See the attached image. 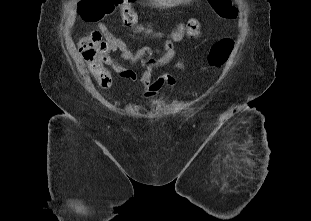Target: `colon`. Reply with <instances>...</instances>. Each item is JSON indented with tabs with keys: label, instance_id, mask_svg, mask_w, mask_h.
<instances>
[{
	"label": "colon",
	"instance_id": "obj_1",
	"mask_svg": "<svg viewBox=\"0 0 311 221\" xmlns=\"http://www.w3.org/2000/svg\"><path fill=\"white\" fill-rule=\"evenodd\" d=\"M85 5L79 6L81 20L79 22H94L96 17H119L123 13L124 27L134 30L137 28L138 15L133 8L134 0H83ZM212 9H220L221 20H232L236 15L233 0H207ZM116 4V5H114ZM185 33L191 38L201 35L202 27L198 19L191 18L184 25ZM108 38L94 30L82 36L78 41V50L87 61L90 73L100 87H108L112 82L108 69V57L111 52ZM234 50V40L226 37L218 41L209 52L208 62L213 67L222 66Z\"/></svg>",
	"mask_w": 311,
	"mask_h": 221
}]
</instances>
